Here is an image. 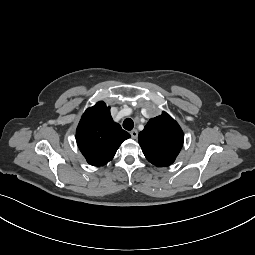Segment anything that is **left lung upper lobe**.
Returning a JSON list of instances; mask_svg holds the SVG:
<instances>
[{
    "label": "left lung upper lobe",
    "mask_w": 255,
    "mask_h": 255,
    "mask_svg": "<svg viewBox=\"0 0 255 255\" xmlns=\"http://www.w3.org/2000/svg\"><path fill=\"white\" fill-rule=\"evenodd\" d=\"M139 145L149 162L164 167L171 165L179 154L184 135L178 123L166 112L151 118L138 136Z\"/></svg>",
    "instance_id": "obj_1"
}]
</instances>
